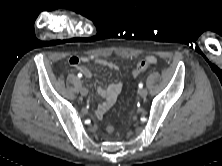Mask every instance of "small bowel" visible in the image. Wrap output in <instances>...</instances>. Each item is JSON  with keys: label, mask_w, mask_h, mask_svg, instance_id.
I'll use <instances>...</instances> for the list:
<instances>
[{"label": "small bowel", "mask_w": 222, "mask_h": 166, "mask_svg": "<svg viewBox=\"0 0 222 166\" xmlns=\"http://www.w3.org/2000/svg\"><path fill=\"white\" fill-rule=\"evenodd\" d=\"M89 59L87 57H80V56H71L68 60L69 64L76 69H78L86 78H91L92 73L91 71L85 67L80 65L81 63L87 62ZM146 60L149 63H155L156 58L154 56H148ZM96 63L108 67L111 70H118L119 66L111 61H107L105 59H96ZM123 84L122 82H116L113 84H110L108 87L103 88V87H98L97 88V93L103 97L105 100L102 102L96 110V115L97 117L101 118L111 107L112 105L116 102V99L118 95L120 94L122 90Z\"/></svg>", "instance_id": "1"}]
</instances>
